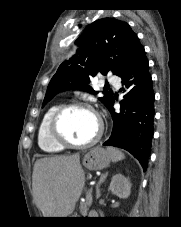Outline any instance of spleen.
<instances>
[{
    "label": "spleen",
    "mask_w": 181,
    "mask_h": 227,
    "mask_svg": "<svg viewBox=\"0 0 181 227\" xmlns=\"http://www.w3.org/2000/svg\"><path fill=\"white\" fill-rule=\"evenodd\" d=\"M107 151L109 152L110 156H111V160L113 162H118L120 160H123L125 158V155L123 152H121L119 149L115 148V147H107Z\"/></svg>",
    "instance_id": "spleen-1"
}]
</instances>
